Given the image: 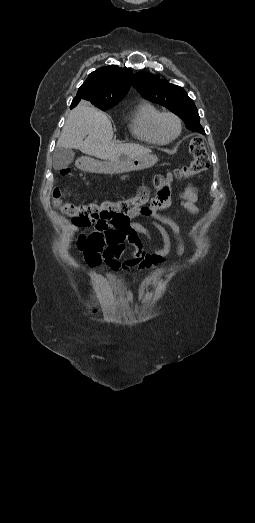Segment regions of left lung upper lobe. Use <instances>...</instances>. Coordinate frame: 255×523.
<instances>
[{"label":"left lung upper lobe","instance_id":"1","mask_svg":"<svg viewBox=\"0 0 255 523\" xmlns=\"http://www.w3.org/2000/svg\"><path fill=\"white\" fill-rule=\"evenodd\" d=\"M133 82L142 97L174 112L185 122L188 129L205 134L193 100L181 87L145 72L136 73Z\"/></svg>","mask_w":255,"mask_h":523}]
</instances>
